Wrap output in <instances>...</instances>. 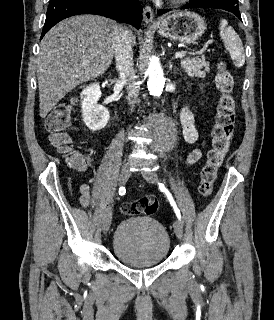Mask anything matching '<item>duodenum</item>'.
Masks as SVG:
<instances>
[{"mask_svg":"<svg viewBox=\"0 0 274 320\" xmlns=\"http://www.w3.org/2000/svg\"><path fill=\"white\" fill-rule=\"evenodd\" d=\"M110 84H112V82ZM107 99H108V102L112 106L115 105V99H114V95H113V92H112L111 88H108V90H107Z\"/></svg>","mask_w":274,"mask_h":320,"instance_id":"1","label":"duodenum"}]
</instances>
